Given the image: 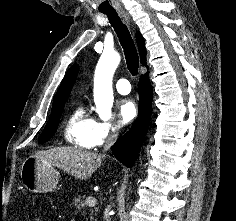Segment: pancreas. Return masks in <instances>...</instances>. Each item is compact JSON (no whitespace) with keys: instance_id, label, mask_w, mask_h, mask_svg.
Instances as JSON below:
<instances>
[{"instance_id":"obj_1","label":"pancreas","mask_w":236,"mask_h":221,"mask_svg":"<svg viewBox=\"0 0 236 221\" xmlns=\"http://www.w3.org/2000/svg\"><path fill=\"white\" fill-rule=\"evenodd\" d=\"M72 207H75L76 210H80L81 208H83L85 206V201H84V196L78 195L77 197H75L73 199V202L71 204ZM96 212H97V208H95V214L93 215V211L90 212L89 214V219L90 221H96Z\"/></svg>"}]
</instances>
